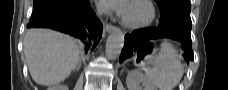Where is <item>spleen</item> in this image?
<instances>
[{
	"instance_id": "3e777b00",
	"label": "spleen",
	"mask_w": 228,
	"mask_h": 90,
	"mask_svg": "<svg viewBox=\"0 0 228 90\" xmlns=\"http://www.w3.org/2000/svg\"><path fill=\"white\" fill-rule=\"evenodd\" d=\"M143 70L149 82L159 90H173L184 73L178 52L168 41L161 44L159 53L143 66Z\"/></svg>"
}]
</instances>
